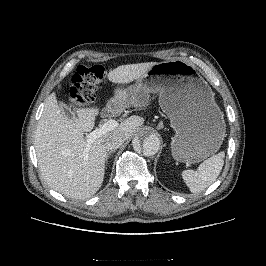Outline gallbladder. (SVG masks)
<instances>
[{
    "label": "gallbladder",
    "mask_w": 266,
    "mask_h": 266,
    "mask_svg": "<svg viewBox=\"0 0 266 266\" xmlns=\"http://www.w3.org/2000/svg\"><path fill=\"white\" fill-rule=\"evenodd\" d=\"M59 107L62 113L69 119L75 118V114L71 111V109L63 102L59 103Z\"/></svg>",
    "instance_id": "1"
}]
</instances>
